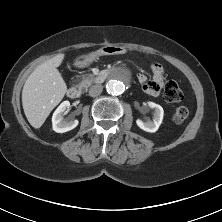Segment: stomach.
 I'll use <instances>...</instances> for the list:
<instances>
[{"label": "stomach", "mask_w": 222, "mask_h": 222, "mask_svg": "<svg viewBox=\"0 0 222 222\" xmlns=\"http://www.w3.org/2000/svg\"><path fill=\"white\" fill-rule=\"evenodd\" d=\"M125 53V49L120 46H113V45H107L102 47L98 52L96 53H90L87 55H81L78 56L74 60V66L78 68H84L89 66L98 56L102 55H116V54H123Z\"/></svg>", "instance_id": "1"}]
</instances>
